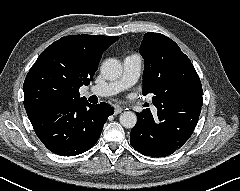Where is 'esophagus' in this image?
Here are the masks:
<instances>
[{
	"mask_svg": "<svg viewBox=\"0 0 240 191\" xmlns=\"http://www.w3.org/2000/svg\"><path fill=\"white\" fill-rule=\"evenodd\" d=\"M122 111H123V108H121L120 106H115L114 107V114L115 115L121 113Z\"/></svg>",
	"mask_w": 240,
	"mask_h": 191,
	"instance_id": "obj_1",
	"label": "esophagus"
}]
</instances>
